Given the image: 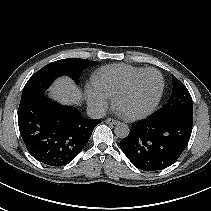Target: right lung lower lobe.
<instances>
[{
	"mask_svg": "<svg viewBox=\"0 0 211 211\" xmlns=\"http://www.w3.org/2000/svg\"><path fill=\"white\" fill-rule=\"evenodd\" d=\"M101 121L86 119L72 106L37 94L20 102L18 125L29 153L49 166L70 163L84 148Z\"/></svg>",
	"mask_w": 211,
	"mask_h": 211,
	"instance_id": "obj_1",
	"label": "right lung lower lobe"
}]
</instances>
